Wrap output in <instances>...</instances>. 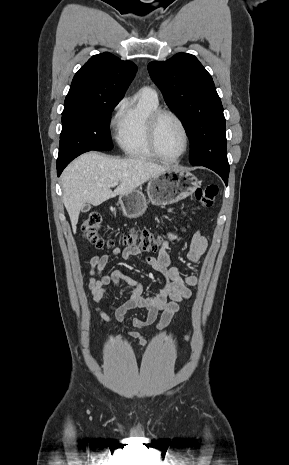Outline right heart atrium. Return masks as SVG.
Instances as JSON below:
<instances>
[{"label": "right heart atrium", "instance_id": "d8ad5b80", "mask_svg": "<svg viewBox=\"0 0 289 465\" xmlns=\"http://www.w3.org/2000/svg\"><path fill=\"white\" fill-rule=\"evenodd\" d=\"M124 103H125V100H122V101H121V102L118 104V107H121V106H123V105H124Z\"/></svg>", "mask_w": 289, "mask_h": 465}]
</instances>
